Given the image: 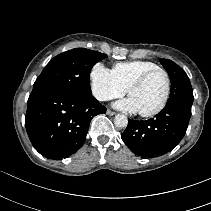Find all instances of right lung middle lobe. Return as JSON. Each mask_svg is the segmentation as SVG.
Masks as SVG:
<instances>
[{
	"label": "right lung middle lobe",
	"mask_w": 211,
	"mask_h": 211,
	"mask_svg": "<svg viewBox=\"0 0 211 211\" xmlns=\"http://www.w3.org/2000/svg\"><path fill=\"white\" fill-rule=\"evenodd\" d=\"M106 57L105 54L85 48L61 53L45 66L32 91L57 90L79 97L89 96L91 68Z\"/></svg>",
	"instance_id": "obj_1"
}]
</instances>
